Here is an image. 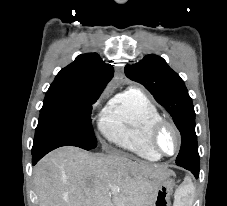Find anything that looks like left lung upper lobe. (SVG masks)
<instances>
[{
    "label": "left lung upper lobe",
    "instance_id": "1",
    "mask_svg": "<svg viewBox=\"0 0 227 206\" xmlns=\"http://www.w3.org/2000/svg\"><path fill=\"white\" fill-rule=\"evenodd\" d=\"M125 74L145 86L172 116L182 138L176 164L199 165L195 111L184 81L163 58L154 54L146 55L136 64L126 65Z\"/></svg>",
    "mask_w": 227,
    "mask_h": 206
}]
</instances>
